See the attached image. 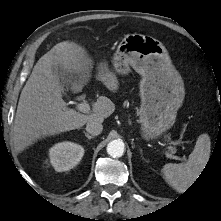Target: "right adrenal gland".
<instances>
[{
	"label": "right adrenal gland",
	"instance_id": "right-adrenal-gland-1",
	"mask_svg": "<svg viewBox=\"0 0 221 221\" xmlns=\"http://www.w3.org/2000/svg\"><path fill=\"white\" fill-rule=\"evenodd\" d=\"M83 133L85 134V136L90 140L92 138H94V136L89 135L87 132L83 131Z\"/></svg>",
	"mask_w": 221,
	"mask_h": 221
}]
</instances>
